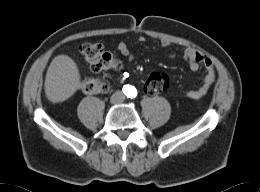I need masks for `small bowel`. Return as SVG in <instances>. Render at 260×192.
<instances>
[{"mask_svg": "<svg viewBox=\"0 0 260 192\" xmlns=\"http://www.w3.org/2000/svg\"><path fill=\"white\" fill-rule=\"evenodd\" d=\"M139 41L144 42L145 38L140 37ZM161 44L162 46L167 47L170 45V42L167 40H163ZM116 49L121 55L127 57L130 61L133 60L134 55L131 52L128 44H126L125 42L118 43ZM170 56L173 57L174 54L172 53ZM183 58L188 63L189 68L193 72L198 71L201 66L206 69V74L203 78L201 86L185 92V96L190 99H200L207 94V92L215 82L216 71L214 64L205 54L193 48H185L183 51Z\"/></svg>", "mask_w": 260, "mask_h": 192, "instance_id": "small-bowel-1", "label": "small bowel"}]
</instances>
